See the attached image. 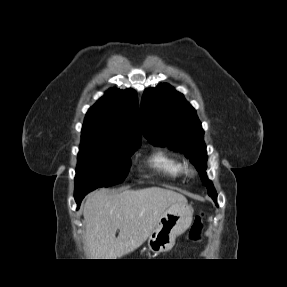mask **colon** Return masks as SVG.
<instances>
[{"mask_svg": "<svg viewBox=\"0 0 287 287\" xmlns=\"http://www.w3.org/2000/svg\"><path fill=\"white\" fill-rule=\"evenodd\" d=\"M203 226H204V214H198L193 222V225L189 231V240L190 241H197L200 239L201 234H202V230H203Z\"/></svg>", "mask_w": 287, "mask_h": 287, "instance_id": "5ec220e1", "label": "colon"}]
</instances>
